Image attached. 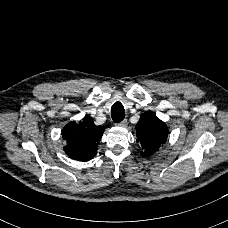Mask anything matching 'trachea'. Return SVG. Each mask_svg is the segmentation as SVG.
Listing matches in <instances>:
<instances>
[{"label": "trachea", "mask_w": 228, "mask_h": 228, "mask_svg": "<svg viewBox=\"0 0 228 228\" xmlns=\"http://www.w3.org/2000/svg\"><path fill=\"white\" fill-rule=\"evenodd\" d=\"M111 116L114 122L118 123L125 117L124 107L120 102L113 104L111 108Z\"/></svg>", "instance_id": "1"}]
</instances>
